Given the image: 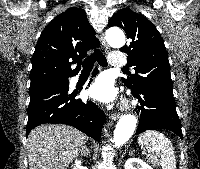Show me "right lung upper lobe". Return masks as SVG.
<instances>
[{"mask_svg":"<svg viewBox=\"0 0 200 169\" xmlns=\"http://www.w3.org/2000/svg\"><path fill=\"white\" fill-rule=\"evenodd\" d=\"M83 9L71 7L53 19L41 33L32 57L31 85L74 76L87 51L99 46ZM72 60V61H71Z\"/></svg>","mask_w":200,"mask_h":169,"instance_id":"obj_1","label":"right lung upper lobe"}]
</instances>
